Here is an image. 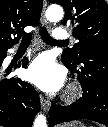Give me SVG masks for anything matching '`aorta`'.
I'll return each instance as SVG.
<instances>
[{
    "label": "aorta",
    "instance_id": "obj_1",
    "mask_svg": "<svg viewBox=\"0 0 108 127\" xmlns=\"http://www.w3.org/2000/svg\"><path fill=\"white\" fill-rule=\"evenodd\" d=\"M64 16L63 8L60 5L53 4L46 10V18L50 22H58ZM33 127H47L46 117L43 114L36 116Z\"/></svg>",
    "mask_w": 108,
    "mask_h": 127
}]
</instances>
